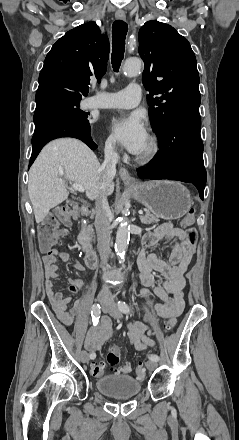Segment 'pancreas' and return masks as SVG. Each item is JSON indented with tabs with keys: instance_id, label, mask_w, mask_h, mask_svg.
I'll return each mask as SVG.
<instances>
[{
	"instance_id": "pancreas-1",
	"label": "pancreas",
	"mask_w": 239,
	"mask_h": 440,
	"mask_svg": "<svg viewBox=\"0 0 239 440\" xmlns=\"http://www.w3.org/2000/svg\"><path fill=\"white\" fill-rule=\"evenodd\" d=\"M140 220L142 224H157V222H160L158 218H155V216H151L149 210H146L145 216H140Z\"/></svg>"
}]
</instances>
